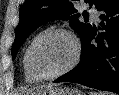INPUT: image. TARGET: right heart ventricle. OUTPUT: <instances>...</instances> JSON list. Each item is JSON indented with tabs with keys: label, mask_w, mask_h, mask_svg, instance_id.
Instances as JSON below:
<instances>
[{
	"label": "right heart ventricle",
	"mask_w": 119,
	"mask_h": 95,
	"mask_svg": "<svg viewBox=\"0 0 119 95\" xmlns=\"http://www.w3.org/2000/svg\"><path fill=\"white\" fill-rule=\"evenodd\" d=\"M44 32V31H42ZM42 32L38 33L37 35H35L31 40L30 42L28 43V45L26 46L25 50H24V53H23V57H22V65H23V71H24V77H25V80L28 81V82H39L41 79L38 78L37 76H35L32 71L30 70L29 68V65H28V51H29V48L32 44V42L34 41V39L39 35L41 34Z\"/></svg>",
	"instance_id": "right-heart-ventricle-1"
}]
</instances>
